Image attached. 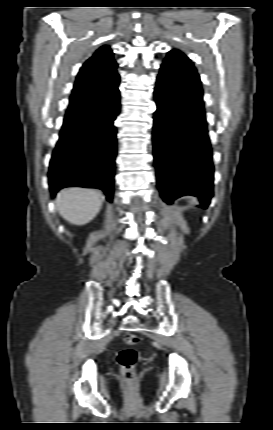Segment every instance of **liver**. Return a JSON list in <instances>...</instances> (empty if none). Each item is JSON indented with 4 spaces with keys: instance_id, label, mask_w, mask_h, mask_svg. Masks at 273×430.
<instances>
[{
    "instance_id": "1",
    "label": "liver",
    "mask_w": 273,
    "mask_h": 430,
    "mask_svg": "<svg viewBox=\"0 0 273 430\" xmlns=\"http://www.w3.org/2000/svg\"><path fill=\"white\" fill-rule=\"evenodd\" d=\"M101 197L95 190L67 188L57 194L56 205L65 220L75 225H84L99 212Z\"/></svg>"
}]
</instances>
